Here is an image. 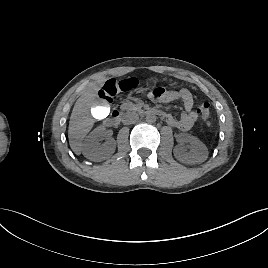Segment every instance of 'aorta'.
I'll use <instances>...</instances> for the list:
<instances>
[{"label":"aorta","mask_w":268,"mask_h":268,"mask_svg":"<svg viewBox=\"0 0 268 268\" xmlns=\"http://www.w3.org/2000/svg\"><path fill=\"white\" fill-rule=\"evenodd\" d=\"M146 122L147 123H150V124H152V123H155L156 122V116H155V114H153V113H148L147 115H146Z\"/></svg>","instance_id":"aorta-1"}]
</instances>
